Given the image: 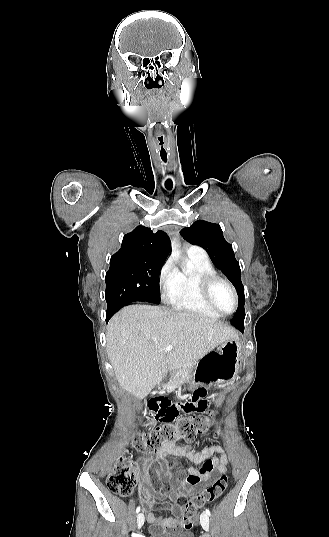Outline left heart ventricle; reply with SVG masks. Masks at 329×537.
<instances>
[{"label":"left heart ventricle","mask_w":329,"mask_h":537,"mask_svg":"<svg viewBox=\"0 0 329 537\" xmlns=\"http://www.w3.org/2000/svg\"><path fill=\"white\" fill-rule=\"evenodd\" d=\"M212 297L216 306L223 312L228 313L234 309V297L225 285H216L213 289Z\"/></svg>","instance_id":"obj_1"}]
</instances>
